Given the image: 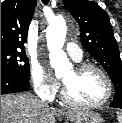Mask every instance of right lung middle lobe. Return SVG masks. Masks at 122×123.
<instances>
[{
	"mask_svg": "<svg viewBox=\"0 0 122 123\" xmlns=\"http://www.w3.org/2000/svg\"><path fill=\"white\" fill-rule=\"evenodd\" d=\"M1 69L30 78L29 60L24 51L1 50Z\"/></svg>",
	"mask_w": 122,
	"mask_h": 123,
	"instance_id": "right-lung-middle-lobe-1",
	"label": "right lung middle lobe"
}]
</instances>
